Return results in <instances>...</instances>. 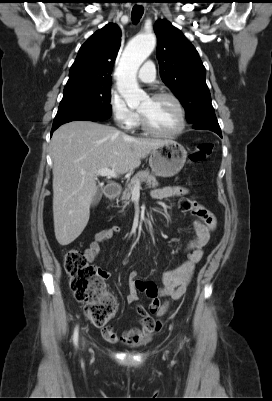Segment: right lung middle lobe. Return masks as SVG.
I'll return each mask as SVG.
<instances>
[{"instance_id":"right-lung-middle-lobe-1","label":"right lung middle lobe","mask_w":272,"mask_h":401,"mask_svg":"<svg viewBox=\"0 0 272 401\" xmlns=\"http://www.w3.org/2000/svg\"><path fill=\"white\" fill-rule=\"evenodd\" d=\"M111 83L64 91L53 125L78 117L100 120L111 116Z\"/></svg>"}]
</instances>
